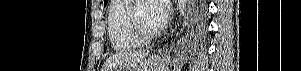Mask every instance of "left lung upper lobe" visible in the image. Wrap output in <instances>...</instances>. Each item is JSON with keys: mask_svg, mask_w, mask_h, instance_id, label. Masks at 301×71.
<instances>
[{"mask_svg": "<svg viewBox=\"0 0 301 71\" xmlns=\"http://www.w3.org/2000/svg\"><path fill=\"white\" fill-rule=\"evenodd\" d=\"M107 2H108V0H105L104 1V6L107 4ZM191 38L193 39L194 38V36H193V33H192V30H191ZM201 39L203 38V37H200ZM198 39V38H197Z\"/></svg>", "mask_w": 301, "mask_h": 71, "instance_id": "5c2ea615", "label": "left lung upper lobe"}]
</instances>
